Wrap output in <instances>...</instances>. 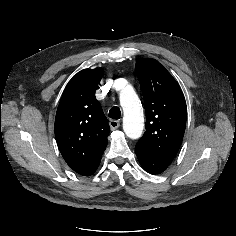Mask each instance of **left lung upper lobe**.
Masks as SVG:
<instances>
[{"instance_id": "left-lung-upper-lobe-1", "label": "left lung upper lobe", "mask_w": 236, "mask_h": 236, "mask_svg": "<svg viewBox=\"0 0 236 236\" xmlns=\"http://www.w3.org/2000/svg\"><path fill=\"white\" fill-rule=\"evenodd\" d=\"M146 112V131L135 149L172 162L183 140L187 106L176 80L154 59L137 61Z\"/></svg>"}]
</instances>
